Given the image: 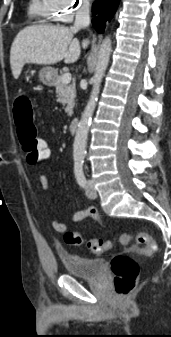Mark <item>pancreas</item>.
<instances>
[{
    "instance_id": "1",
    "label": "pancreas",
    "mask_w": 171,
    "mask_h": 337,
    "mask_svg": "<svg viewBox=\"0 0 171 337\" xmlns=\"http://www.w3.org/2000/svg\"><path fill=\"white\" fill-rule=\"evenodd\" d=\"M62 76L58 77L56 81V93L57 100L62 104H67L66 112L68 116H72L73 108H74V99L76 96L75 85L73 84H65L62 81Z\"/></svg>"
}]
</instances>
